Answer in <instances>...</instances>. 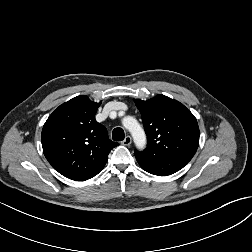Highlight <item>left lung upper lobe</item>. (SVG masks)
<instances>
[{
  "instance_id": "1",
  "label": "left lung upper lobe",
  "mask_w": 252,
  "mask_h": 252,
  "mask_svg": "<svg viewBox=\"0 0 252 252\" xmlns=\"http://www.w3.org/2000/svg\"><path fill=\"white\" fill-rule=\"evenodd\" d=\"M147 134V147L135 157H182L191 160L199 145L194 115L180 102L164 95L135 100Z\"/></svg>"
}]
</instances>
